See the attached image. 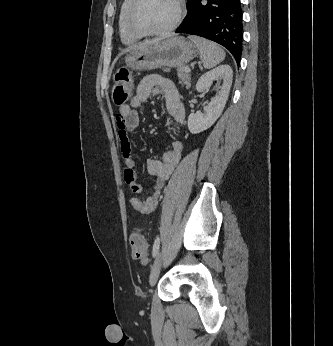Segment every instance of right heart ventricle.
<instances>
[{
	"mask_svg": "<svg viewBox=\"0 0 333 346\" xmlns=\"http://www.w3.org/2000/svg\"><path fill=\"white\" fill-rule=\"evenodd\" d=\"M133 0H123L118 15V32L120 39L125 44L137 42L141 36L134 34L127 25V17Z\"/></svg>",
	"mask_w": 333,
	"mask_h": 346,
	"instance_id": "e07e8e85",
	"label": "right heart ventricle"
}]
</instances>
